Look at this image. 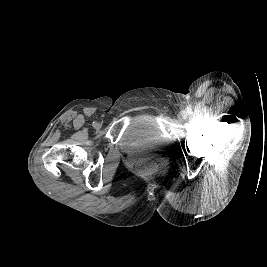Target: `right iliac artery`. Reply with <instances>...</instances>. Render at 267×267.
I'll return each instance as SVG.
<instances>
[{
    "mask_svg": "<svg viewBox=\"0 0 267 267\" xmlns=\"http://www.w3.org/2000/svg\"><path fill=\"white\" fill-rule=\"evenodd\" d=\"M92 125H93V127H95V125H96V122H93V124H92Z\"/></svg>",
    "mask_w": 267,
    "mask_h": 267,
    "instance_id": "obj_1",
    "label": "right iliac artery"
}]
</instances>
